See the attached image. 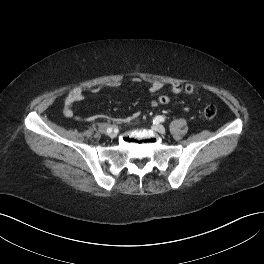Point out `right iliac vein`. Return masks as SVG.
<instances>
[{"label":"right iliac vein","instance_id":"obj_1","mask_svg":"<svg viewBox=\"0 0 264 264\" xmlns=\"http://www.w3.org/2000/svg\"><path fill=\"white\" fill-rule=\"evenodd\" d=\"M108 135H109L111 138H114V137L117 135V133H116L115 131H112V132L108 133Z\"/></svg>","mask_w":264,"mask_h":264}]
</instances>
